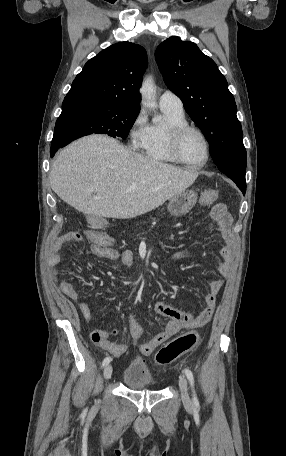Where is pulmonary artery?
Instances as JSON below:
<instances>
[{
    "label": "pulmonary artery",
    "mask_w": 286,
    "mask_h": 456,
    "mask_svg": "<svg viewBox=\"0 0 286 456\" xmlns=\"http://www.w3.org/2000/svg\"><path fill=\"white\" fill-rule=\"evenodd\" d=\"M159 104L161 108L169 109L175 112H184L181 99L169 90H166L161 94Z\"/></svg>",
    "instance_id": "1"
}]
</instances>
